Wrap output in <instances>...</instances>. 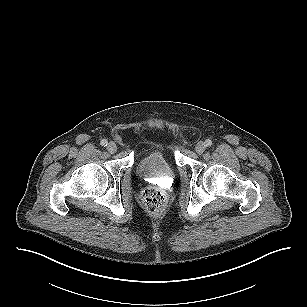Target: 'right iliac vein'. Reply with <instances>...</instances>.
I'll use <instances>...</instances> for the list:
<instances>
[{"label": "right iliac vein", "instance_id": "obj_1", "mask_svg": "<svg viewBox=\"0 0 307 307\" xmlns=\"http://www.w3.org/2000/svg\"><path fill=\"white\" fill-rule=\"evenodd\" d=\"M107 150L109 153H115L117 151V146L114 142H110L107 145Z\"/></svg>", "mask_w": 307, "mask_h": 307}]
</instances>
